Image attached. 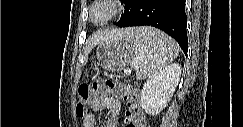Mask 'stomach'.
Listing matches in <instances>:
<instances>
[{"label": "stomach", "instance_id": "1", "mask_svg": "<svg viewBox=\"0 0 243 127\" xmlns=\"http://www.w3.org/2000/svg\"><path fill=\"white\" fill-rule=\"evenodd\" d=\"M137 48L127 37L101 43L97 48L98 64L108 71H119L134 62Z\"/></svg>", "mask_w": 243, "mask_h": 127}]
</instances>
